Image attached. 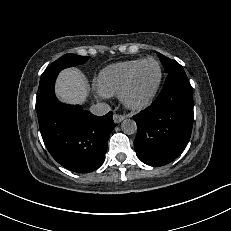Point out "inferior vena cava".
<instances>
[{"label":"inferior vena cava","mask_w":231,"mask_h":231,"mask_svg":"<svg viewBox=\"0 0 231 231\" xmlns=\"http://www.w3.org/2000/svg\"><path fill=\"white\" fill-rule=\"evenodd\" d=\"M110 106L106 103H97L90 107V112L97 116H102L110 111Z\"/></svg>","instance_id":"obj_1"}]
</instances>
